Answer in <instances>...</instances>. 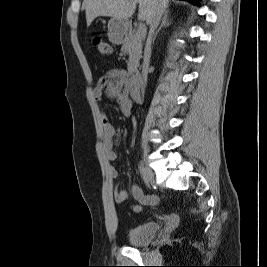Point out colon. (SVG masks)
Here are the masks:
<instances>
[{
    "label": "colon",
    "mask_w": 267,
    "mask_h": 267,
    "mask_svg": "<svg viewBox=\"0 0 267 267\" xmlns=\"http://www.w3.org/2000/svg\"><path fill=\"white\" fill-rule=\"evenodd\" d=\"M93 44L100 55H109L111 53V46L103 37L96 36Z\"/></svg>",
    "instance_id": "obj_1"
}]
</instances>
